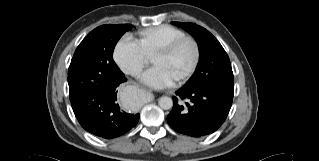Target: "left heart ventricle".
Instances as JSON below:
<instances>
[{"label":"left heart ventricle","instance_id":"left-heart-ventricle-1","mask_svg":"<svg viewBox=\"0 0 319 161\" xmlns=\"http://www.w3.org/2000/svg\"><path fill=\"white\" fill-rule=\"evenodd\" d=\"M193 48L190 43H184L168 57L155 56L152 63L162 67L175 80L190 66L193 59Z\"/></svg>","mask_w":319,"mask_h":161}]
</instances>
